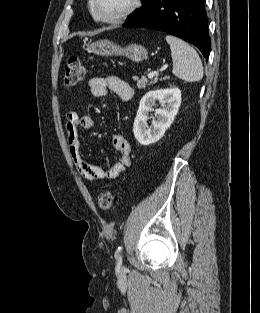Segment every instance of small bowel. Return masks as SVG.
<instances>
[{"mask_svg":"<svg viewBox=\"0 0 260 313\" xmlns=\"http://www.w3.org/2000/svg\"><path fill=\"white\" fill-rule=\"evenodd\" d=\"M89 87L94 97L102 98L112 91L121 103L128 102L133 96L132 87L116 76L93 77L89 81ZM92 125L93 119L89 114H79L72 110L66 113L67 143L75 167L78 173L88 181L117 179L132 164L131 145L122 135L116 134L112 137V146L118 154L117 162L107 169L90 164L80 154L78 130L79 128L89 129Z\"/></svg>","mask_w":260,"mask_h":313,"instance_id":"1","label":"small bowel"}]
</instances>
